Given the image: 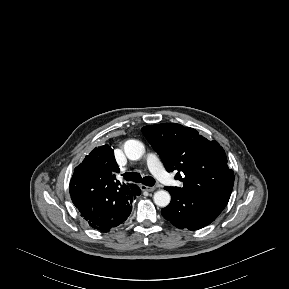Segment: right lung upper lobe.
Instances as JSON below:
<instances>
[{"label": "right lung upper lobe", "instance_id": "cb5924a9", "mask_svg": "<svg viewBox=\"0 0 289 289\" xmlns=\"http://www.w3.org/2000/svg\"><path fill=\"white\" fill-rule=\"evenodd\" d=\"M113 172H119V167L114 158V150L105 144L93 149L91 153L85 157L82 164L75 168L74 174L79 177H88L95 180V192L89 191V195L92 198L96 197L99 194L98 191L104 188L106 193L112 197H117L131 185L121 184L115 179ZM102 199L106 200L107 198ZM91 207H93V205H91Z\"/></svg>", "mask_w": 289, "mask_h": 289}]
</instances>
